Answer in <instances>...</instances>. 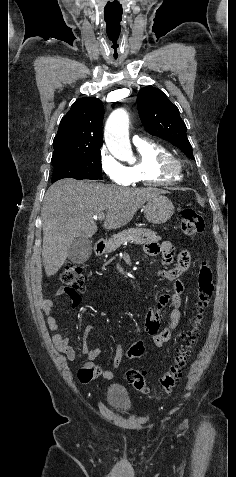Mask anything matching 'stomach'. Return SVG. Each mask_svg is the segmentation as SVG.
<instances>
[{"label": "stomach", "mask_w": 236, "mask_h": 477, "mask_svg": "<svg viewBox=\"0 0 236 477\" xmlns=\"http://www.w3.org/2000/svg\"><path fill=\"white\" fill-rule=\"evenodd\" d=\"M145 218L153 224L167 222L174 213L173 203L163 195H158L147 201L143 207Z\"/></svg>", "instance_id": "0dacf381"}]
</instances>
